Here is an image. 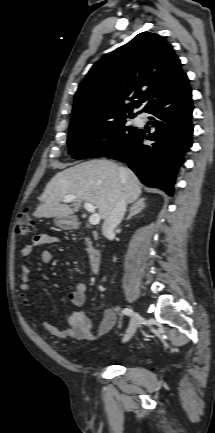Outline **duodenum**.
<instances>
[{
    "label": "duodenum",
    "instance_id": "410a0bca",
    "mask_svg": "<svg viewBox=\"0 0 215 433\" xmlns=\"http://www.w3.org/2000/svg\"><path fill=\"white\" fill-rule=\"evenodd\" d=\"M73 228L79 229L80 225L78 223H74ZM101 254L99 252H92L91 253V257H90V270L94 273V274H98L100 271V266H101Z\"/></svg>",
    "mask_w": 215,
    "mask_h": 433
}]
</instances>
